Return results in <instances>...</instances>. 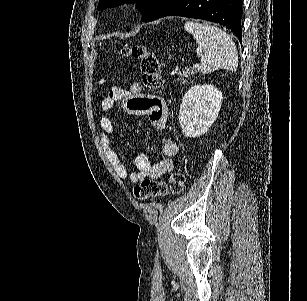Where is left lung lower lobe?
Segmentation results:
<instances>
[{"label": "left lung lower lobe", "instance_id": "0a47b994", "mask_svg": "<svg viewBox=\"0 0 307 301\" xmlns=\"http://www.w3.org/2000/svg\"><path fill=\"white\" fill-rule=\"evenodd\" d=\"M182 16L219 23L242 42V0H176L157 19Z\"/></svg>", "mask_w": 307, "mask_h": 301}]
</instances>
